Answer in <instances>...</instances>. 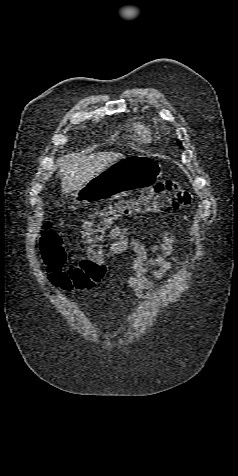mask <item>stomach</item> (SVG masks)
Here are the masks:
<instances>
[{
    "mask_svg": "<svg viewBox=\"0 0 238 476\" xmlns=\"http://www.w3.org/2000/svg\"><path fill=\"white\" fill-rule=\"evenodd\" d=\"M158 161L150 156H125L71 193L74 203L130 195L131 190H148L159 179Z\"/></svg>",
    "mask_w": 238,
    "mask_h": 476,
    "instance_id": "1",
    "label": "stomach"
}]
</instances>
